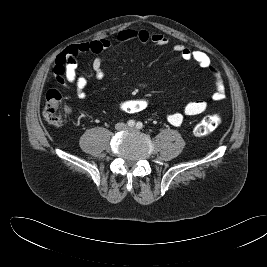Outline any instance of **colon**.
I'll return each mask as SVG.
<instances>
[{"label": "colon", "mask_w": 267, "mask_h": 267, "mask_svg": "<svg viewBox=\"0 0 267 267\" xmlns=\"http://www.w3.org/2000/svg\"><path fill=\"white\" fill-rule=\"evenodd\" d=\"M148 102L141 98L127 99L119 103V109L126 113H137L145 110ZM65 109L63 107L62 95L56 89L47 92L46 102L43 108V117L45 121L52 126H59L63 123ZM219 115H208L199 121L194 132L197 136H206L212 133L220 124Z\"/></svg>", "instance_id": "5ec220e1"}]
</instances>
